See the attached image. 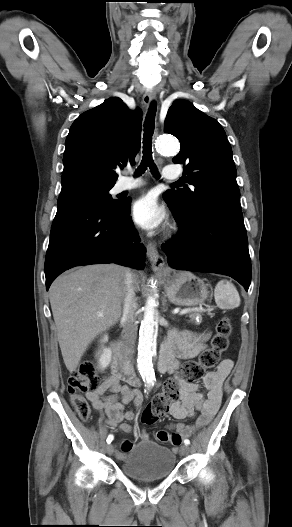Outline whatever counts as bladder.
I'll return each mask as SVG.
<instances>
[{
    "label": "bladder",
    "instance_id": "bladder-1",
    "mask_svg": "<svg viewBox=\"0 0 292 527\" xmlns=\"http://www.w3.org/2000/svg\"><path fill=\"white\" fill-rule=\"evenodd\" d=\"M175 461V454L168 447L144 441L123 454L120 470L132 479L158 480L174 471Z\"/></svg>",
    "mask_w": 292,
    "mask_h": 527
}]
</instances>
